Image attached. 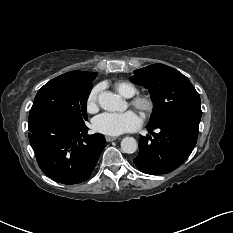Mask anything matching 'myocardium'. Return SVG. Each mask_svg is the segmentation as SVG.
I'll return each instance as SVG.
<instances>
[{"instance_id":"myocardium-1","label":"myocardium","mask_w":233,"mask_h":233,"mask_svg":"<svg viewBox=\"0 0 233 233\" xmlns=\"http://www.w3.org/2000/svg\"><path fill=\"white\" fill-rule=\"evenodd\" d=\"M130 104L145 118L150 116L154 110V100L149 94L136 95L131 99Z\"/></svg>"}]
</instances>
